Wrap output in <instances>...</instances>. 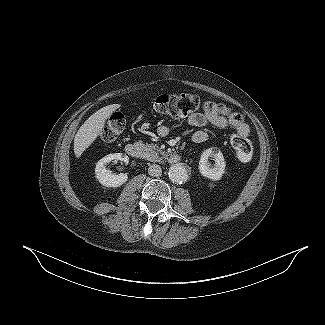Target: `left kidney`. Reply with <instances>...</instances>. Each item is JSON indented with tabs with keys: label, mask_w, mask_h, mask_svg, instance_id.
Segmentation results:
<instances>
[{
	"label": "left kidney",
	"mask_w": 325,
	"mask_h": 325,
	"mask_svg": "<svg viewBox=\"0 0 325 325\" xmlns=\"http://www.w3.org/2000/svg\"><path fill=\"white\" fill-rule=\"evenodd\" d=\"M209 157L214 158V166L208 162ZM225 166L224 156L218 148L211 147L202 152L199 161V171L202 176L213 181H218L225 173Z\"/></svg>",
	"instance_id": "1"
}]
</instances>
